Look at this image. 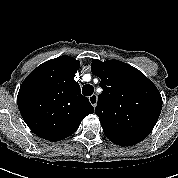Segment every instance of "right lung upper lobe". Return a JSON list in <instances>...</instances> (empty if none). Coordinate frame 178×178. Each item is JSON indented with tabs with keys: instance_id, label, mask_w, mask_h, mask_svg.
I'll return each instance as SVG.
<instances>
[{
	"instance_id": "obj_1",
	"label": "right lung upper lobe",
	"mask_w": 178,
	"mask_h": 178,
	"mask_svg": "<svg viewBox=\"0 0 178 178\" xmlns=\"http://www.w3.org/2000/svg\"><path fill=\"white\" fill-rule=\"evenodd\" d=\"M80 62L69 56L49 60L23 81L17 103L23 120L39 137L60 141L73 134L94 112L74 80Z\"/></svg>"
}]
</instances>
